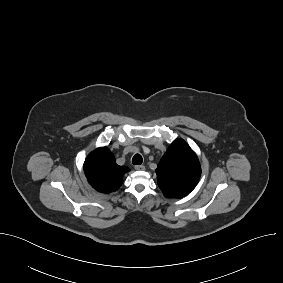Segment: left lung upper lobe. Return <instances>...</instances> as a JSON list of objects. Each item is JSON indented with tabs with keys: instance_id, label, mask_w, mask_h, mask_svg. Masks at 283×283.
Returning a JSON list of instances; mask_svg holds the SVG:
<instances>
[{
	"instance_id": "obj_1",
	"label": "left lung upper lobe",
	"mask_w": 283,
	"mask_h": 283,
	"mask_svg": "<svg viewBox=\"0 0 283 283\" xmlns=\"http://www.w3.org/2000/svg\"><path fill=\"white\" fill-rule=\"evenodd\" d=\"M156 173L158 186L166 197L182 198L196 186L201 167L189 145L177 139L161 158Z\"/></svg>"
}]
</instances>
